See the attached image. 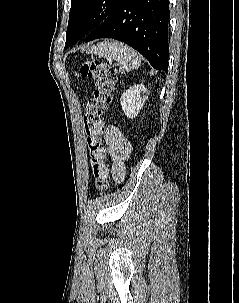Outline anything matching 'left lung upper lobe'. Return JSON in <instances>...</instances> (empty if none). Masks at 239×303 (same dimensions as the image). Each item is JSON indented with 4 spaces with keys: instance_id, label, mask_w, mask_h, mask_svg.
I'll list each match as a JSON object with an SVG mask.
<instances>
[{
    "instance_id": "5c2ea615",
    "label": "left lung upper lobe",
    "mask_w": 239,
    "mask_h": 303,
    "mask_svg": "<svg viewBox=\"0 0 239 303\" xmlns=\"http://www.w3.org/2000/svg\"><path fill=\"white\" fill-rule=\"evenodd\" d=\"M119 0H71L65 48L84 39L112 12Z\"/></svg>"
}]
</instances>
